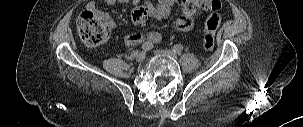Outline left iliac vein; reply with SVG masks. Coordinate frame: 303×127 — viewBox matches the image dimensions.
I'll list each match as a JSON object with an SVG mask.
<instances>
[{
  "label": "left iliac vein",
  "mask_w": 303,
  "mask_h": 127,
  "mask_svg": "<svg viewBox=\"0 0 303 127\" xmlns=\"http://www.w3.org/2000/svg\"><path fill=\"white\" fill-rule=\"evenodd\" d=\"M154 54L159 57L177 58V54L173 50H156Z\"/></svg>",
  "instance_id": "4c4485c4"
}]
</instances>
